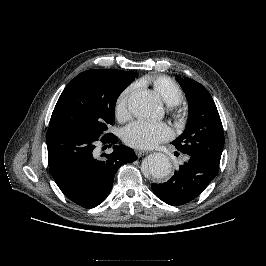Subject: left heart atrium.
Returning a JSON list of instances; mask_svg holds the SVG:
<instances>
[{
    "label": "left heart atrium",
    "mask_w": 266,
    "mask_h": 266,
    "mask_svg": "<svg viewBox=\"0 0 266 266\" xmlns=\"http://www.w3.org/2000/svg\"><path fill=\"white\" fill-rule=\"evenodd\" d=\"M172 136L170 127L164 122L136 120L123 130L124 142L134 148L149 149Z\"/></svg>",
    "instance_id": "left-heart-atrium-1"
}]
</instances>
